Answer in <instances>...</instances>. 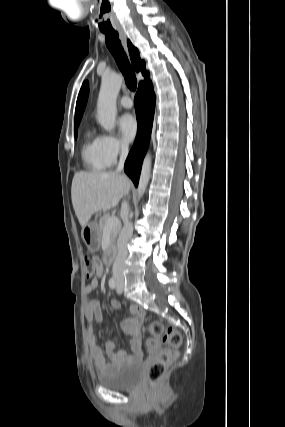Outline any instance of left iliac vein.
Returning <instances> with one entry per match:
<instances>
[{
  "mask_svg": "<svg viewBox=\"0 0 285 427\" xmlns=\"http://www.w3.org/2000/svg\"><path fill=\"white\" fill-rule=\"evenodd\" d=\"M123 288H124V281H123V279H118V281H117V287H116L117 293L118 294L122 293Z\"/></svg>",
  "mask_w": 285,
  "mask_h": 427,
  "instance_id": "obj_1",
  "label": "left iliac vein"
}]
</instances>
